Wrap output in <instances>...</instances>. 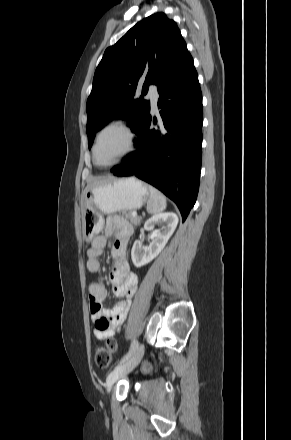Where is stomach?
<instances>
[{
	"instance_id": "1",
	"label": "stomach",
	"mask_w": 291,
	"mask_h": 440,
	"mask_svg": "<svg viewBox=\"0 0 291 440\" xmlns=\"http://www.w3.org/2000/svg\"><path fill=\"white\" fill-rule=\"evenodd\" d=\"M150 199L148 186L130 177L110 179L88 188L83 194V232L86 239L98 234L104 214L141 208Z\"/></svg>"
}]
</instances>
